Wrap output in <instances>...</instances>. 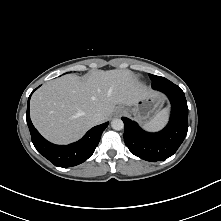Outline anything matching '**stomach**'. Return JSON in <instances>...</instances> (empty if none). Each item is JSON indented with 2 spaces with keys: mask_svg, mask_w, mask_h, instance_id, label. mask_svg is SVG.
<instances>
[{
  "mask_svg": "<svg viewBox=\"0 0 221 221\" xmlns=\"http://www.w3.org/2000/svg\"><path fill=\"white\" fill-rule=\"evenodd\" d=\"M162 97L151 94L137 101L132 107H121L124 111L133 113L134 118L140 123L149 122L159 111L162 105Z\"/></svg>",
  "mask_w": 221,
  "mask_h": 221,
  "instance_id": "1",
  "label": "stomach"
}]
</instances>
